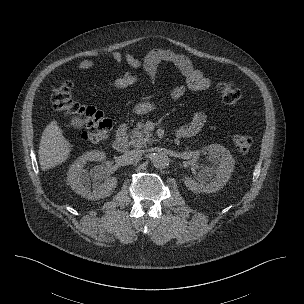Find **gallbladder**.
I'll use <instances>...</instances> for the list:
<instances>
[{
  "label": "gallbladder",
  "mask_w": 304,
  "mask_h": 304,
  "mask_svg": "<svg viewBox=\"0 0 304 304\" xmlns=\"http://www.w3.org/2000/svg\"><path fill=\"white\" fill-rule=\"evenodd\" d=\"M71 126H73L76 129H80L84 125V120L81 117L75 116L71 118Z\"/></svg>",
  "instance_id": "obj_1"
}]
</instances>
